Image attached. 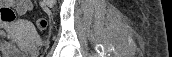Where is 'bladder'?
<instances>
[{
	"instance_id": "1",
	"label": "bladder",
	"mask_w": 172,
	"mask_h": 57,
	"mask_svg": "<svg viewBox=\"0 0 172 57\" xmlns=\"http://www.w3.org/2000/svg\"><path fill=\"white\" fill-rule=\"evenodd\" d=\"M0 57H24L19 55V53H1Z\"/></svg>"
}]
</instances>
